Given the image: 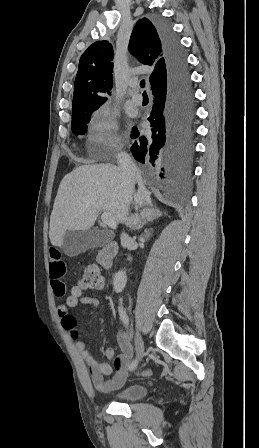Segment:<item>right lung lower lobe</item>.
I'll use <instances>...</instances> for the list:
<instances>
[{"label": "right lung lower lobe", "instance_id": "obj_1", "mask_svg": "<svg viewBox=\"0 0 259 448\" xmlns=\"http://www.w3.org/2000/svg\"><path fill=\"white\" fill-rule=\"evenodd\" d=\"M155 24L162 41L167 84L152 92L151 134L140 135L134 126L130 151L138 162L161 170V178L183 184L192 174L194 159L193 85L186 55L172 27L161 19Z\"/></svg>", "mask_w": 259, "mask_h": 448}]
</instances>
